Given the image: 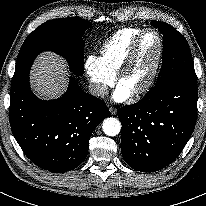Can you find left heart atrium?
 Segmentation results:
<instances>
[{
  "label": "left heart atrium",
  "mask_w": 206,
  "mask_h": 206,
  "mask_svg": "<svg viewBox=\"0 0 206 206\" xmlns=\"http://www.w3.org/2000/svg\"><path fill=\"white\" fill-rule=\"evenodd\" d=\"M132 92L127 89L125 86L122 84H119L113 94V99L116 102H122L127 100L131 96Z\"/></svg>",
  "instance_id": "1"
}]
</instances>
